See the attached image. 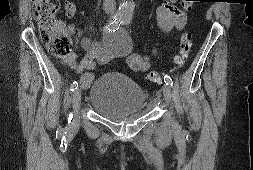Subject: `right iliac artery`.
Returning a JSON list of instances; mask_svg holds the SVG:
<instances>
[{"label": "right iliac artery", "instance_id": "right-iliac-artery-1", "mask_svg": "<svg viewBox=\"0 0 253 170\" xmlns=\"http://www.w3.org/2000/svg\"><path fill=\"white\" fill-rule=\"evenodd\" d=\"M122 25V18L120 16L115 15L113 19L109 21V23L105 26L104 31L106 32H114ZM78 87V82L74 81L70 86V91L73 92Z\"/></svg>", "mask_w": 253, "mask_h": 170}]
</instances>
